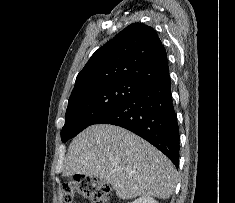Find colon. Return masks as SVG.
I'll list each match as a JSON object with an SVG mask.
<instances>
[{
    "label": "colon",
    "mask_w": 235,
    "mask_h": 203,
    "mask_svg": "<svg viewBox=\"0 0 235 203\" xmlns=\"http://www.w3.org/2000/svg\"><path fill=\"white\" fill-rule=\"evenodd\" d=\"M75 196L88 199L91 203H111L112 193L108 185L88 175H74L63 184V199L71 203Z\"/></svg>",
    "instance_id": "5ec220e1"
}]
</instances>
